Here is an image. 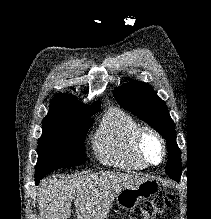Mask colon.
I'll list each match as a JSON object with an SVG mask.
<instances>
[{"mask_svg": "<svg viewBox=\"0 0 211 219\" xmlns=\"http://www.w3.org/2000/svg\"><path fill=\"white\" fill-rule=\"evenodd\" d=\"M173 202L172 195H158L151 200L143 202L131 214L122 219H154L161 216Z\"/></svg>", "mask_w": 211, "mask_h": 219, "instance_id": "colon-1", "label": "colon"}]
</instances>
